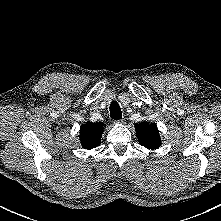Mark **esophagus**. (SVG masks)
<instances>
[{
    "label": "esophagus",
    "mask_w": 221,
    "mask_h": 221,
    "mask_svg": "<svg viewBox=\"0 0 221 221\" xmlns=\"http://www.w3.org/2000/svg\"><path fill=\"white\" fill-rule=\"evenodd\" d=\"M124 123H125L124 119H119L114 121V124H124Z\"/></svg>",
    "instance_id": "1"
}]
</instances>
